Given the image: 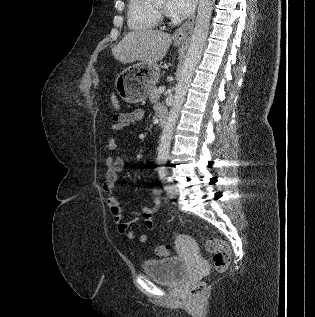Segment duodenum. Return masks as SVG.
<instances>
[{"instance_id": "obj_1", "label": "duodenum", "mask_w": 315, "mask_h": 317, "mask_svg": "<svg viewBox=\"0 0 315 317\" xmlns=\"http://www.w3.org/2000/svg\"><path fill=\"white\" fill-rule=\"evenodd\" d=\"M168 119V112L165 108H159L158 110V120L160 127H164Z\"/></svg>"}]
</instances>
